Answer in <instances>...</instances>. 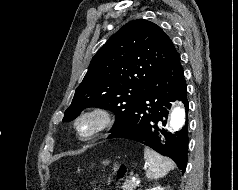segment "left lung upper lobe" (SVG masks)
<instances>
[{
    "mask_svg": "<svg viewBox=\"0 0 238 190\" xmlns=\"http://www.w3.org/2000/svg\"><path fill=\"white\" fill-rule=\"evenodd\" d=\"M177 54L155 23L139 19L125 24L93 57L63 122L87 107H99L116 114L112 131L129 115L153 76Z\"/></svg>",
    "mask_w": 238,
    "mask_h": 190,
    "instance_id": "obj_1",
    "label": "left lung upper lobe"
}]
</instances>
